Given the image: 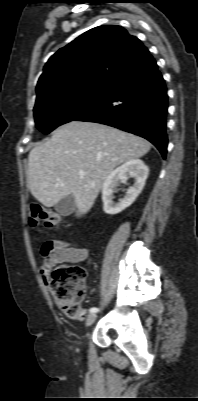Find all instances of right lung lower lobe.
<instances>
[{
  "label": "right lung lower lobe",
  "mask_w": 198,
  "mask_h": 401,
  "mask_svg": "<svg viewBox=\"0 0 198 401\" xmlns=\"http://www.w3.org/2000/svg\"><path fill=\"white\" fill-rule=\"evenodd\" d=\"M167 98L164 79L148 54L109 83L101 99L75 120L102 123L141 136L165 158Z\"/></svg>",
  "instance_id": "obj_1"
}]
</instances>
